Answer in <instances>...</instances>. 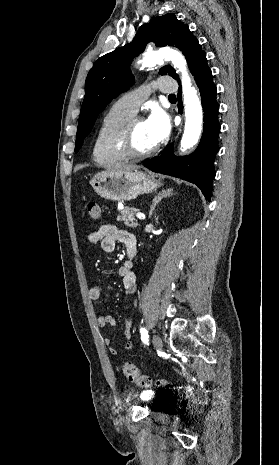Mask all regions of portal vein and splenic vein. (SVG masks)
Instances as JSON below:
<instances>
[{"instance_id":"obj_1","label":"portal vein and splenic vein","mask_w":279,"mask_h":465,"mask_svg":"<svg viewBox=\"0 0 279 465\" xmlns=\"http://www.w3.org/2000/svg\"><path fill=\"white\" fill-rule=\"evenodd\" d=\"M136 217H137L138 219H140V220L145 219V215H144L143 213H141V212H138V213L136 214Z\"/></svg>"}]
</instances>
